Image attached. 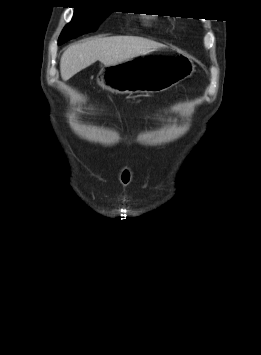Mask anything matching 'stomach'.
<instances>
[{
    "instance_id": "obj_1",
    "label": "stomach",
    "mask_w": 261,
    "mask_h": 355,
    "mask_svg": "<svg viewBox=\"0 0 261 355\" xmlns=\"http://www.w3.org/2000/svg\"><path fill=\"white\" fill-rule=\"evenodd\" d=\"M195 70L191 58L169 46L150 50L102 68L98 84L111 92L156 93L169 89Z\"/></svg>"
}]
</instances>
